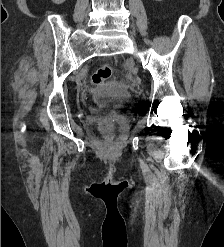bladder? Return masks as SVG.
Wrapping results in <instances>:
<instances>
[{
	"label": "bladder",
	"mask_w": 224,
	"mask_h": 247,
	"mask_svg": "<svg viewBox=\"0 0 224 247\" xmlns=\"http://www.w3.org/2000/svg\"><path fill=\"white\" fill-rule=\"evenodd\" d=\"M132 94L122 88L114 87L109 93H95L92 102L101 109L113 110L124 115L132 104Z\"/></svg>",
	"instance_id": "1"
}]
</instances>
